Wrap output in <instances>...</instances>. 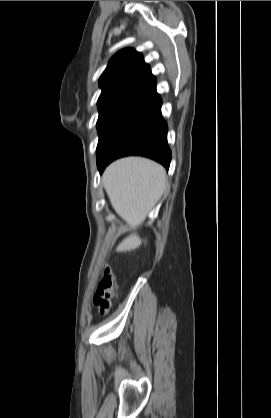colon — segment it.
<instances>
[{
  "mask_svg": "<svg viewBox=\"0 0 271 418\" xmlns=\"http://www.w3.org/2000/svg\"><path fill=\"white\" fill-rule=\"evenodd\" d=\"M114 297L115 280L112 272L107 268L98 283L97 291L93 298L94 305L101 315L107 313Z\"/></svg>",
  "mask_w": 271,
  "mask_h": 418,
  "instance_id": "5ec220e1",
  "label": "colon"
}]
</instances>
